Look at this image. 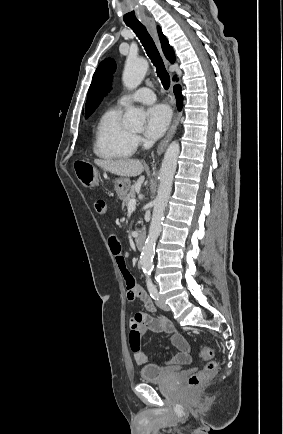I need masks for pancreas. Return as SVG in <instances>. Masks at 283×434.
<instances>
[{
    "mask_svg": "<svg viewBox=\"0 0 283 434\" xmlns=\"http://www.w3.org/2000/svg\"><path fill=\"white\" fill-rule=\"evenodd\" d=\"M135 198V186H132L129 193L122 199V206H128L130 200Z\"/></svg>",
    "mask_w": 283,
    "mask_h": 434,
    "instance_id": "pancreas-1",
    "label": "pancreas"
}]
</instances>
